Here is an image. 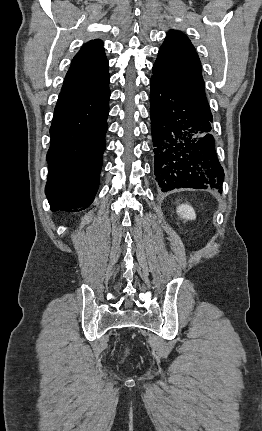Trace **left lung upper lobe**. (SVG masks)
<instances>
[{
    "label": "left lung upper lobe",
    "instance_id": "left-lung-upper-lobe-1",
    "mask_svg": "<svg viewBox=\"0 0 262 431\" xmlns=\"http://www.w3.org/2000/svg\"><path fill=\"white\" fill-rule=\"evenodd\" d=\"M151 79L185 96L206 115L212 116L205 95L199 57L190 40L182 32H168L153 66Z\"/></svg>",
    "mask_w": 262,
    "mask_h": 431
}]
</instances>
